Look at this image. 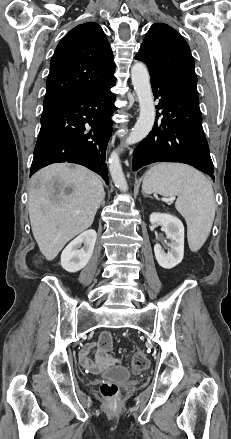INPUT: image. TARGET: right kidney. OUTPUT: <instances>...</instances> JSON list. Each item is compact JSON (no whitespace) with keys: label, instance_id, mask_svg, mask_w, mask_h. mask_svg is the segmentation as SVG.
Here are the masks:
<instances>
[{"label":"right kidney","instance_id":"right-kidney-1","mask_svg":"<svg viewBox=\"0 0 231 439\" xmlns=\"http://www.w3.org/2000/svg\"><path fill=\"white\" fill-rule=\"evenodd\" d=\"M96 239V231L90 229L71 241L61 254L62 268L70 273L77 272L84 268L92 256ZM82 243H84V246L79 249Z\"/></svg>","mask_w":231,"mask_h":439}]
</instances>
